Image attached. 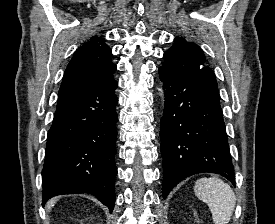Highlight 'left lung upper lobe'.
<instances>
[{"instance_id":"5c2ea615","label":"left lung upper lobe","mask_w":275,"mask_h":224,"mask_svg":"<svg viewBox=\"0 0 275 224\" xmlns=\"http://www.w3.org/2000/svg\"><path fill=\"white\" fill-rule=\"evenodd\" d=\"M163 58L165 61L159 70L165 76L171 78L196 77L218 89L213 71L204 65V53L195 43L177 37L172 47L164 53Z\"/></svg>"}]
</instances>
